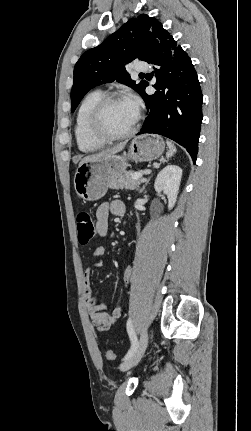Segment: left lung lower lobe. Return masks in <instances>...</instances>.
<instances>
[{
    "label": "left lung lower lobe",
    "mask_w": 251,
    "mask_h": 431,
    "mask_svg": "<svg viewBox=\"0 0 251 431\" xmlns=\"http://www.w3.org/2000/svg\"><path fill=\"white\" fill-rule=\"evenodd\" d=\"M148 63L157 66V81L153 85L157 91L147 95L146 82L140 93L148 116L138 134H161L176 141L187 149L195 163L203 96L191 59L169 35L154 46Z\"/></svg>",
    "instance_id": "1"
}]
</instances>
